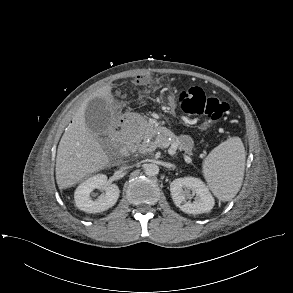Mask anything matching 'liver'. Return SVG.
<instances>
[{
    "instance_id": "6515ba94",
    "label": "liver",
    "mask_w": 293,
    "mask_h": 293,
    "mask_svg": "<svg viewBox=\"0 0 293 293\" xmlns=\"http://www.w3.org/2000/svg\"><path fill=\"white\" fill-rule=\"evenodd\" d=\"M92 98L111 100V87L99 89ZM86 104L73 117L60 140L56 158V181L60 189L79 183L90 174L104 169L108 156L85 122Z\"/></svg>"
}]
</instances>
